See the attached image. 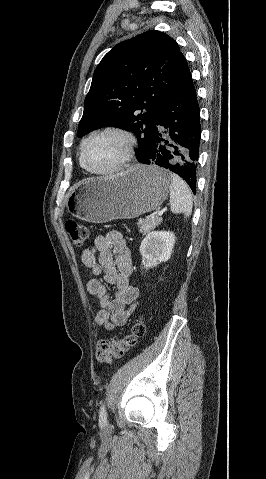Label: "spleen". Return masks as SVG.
<instances>
[{
    "mask_svg": "<svg viewBox=\"0 0 266 479\" xmlns=\"http://www.w3.org/2000/svg\"><path fill=\"white\" fill-rule=\"evenodd\" d=\"M193 200L188 185L178 175H171L170 208L172 213H183L185 218L192 213Z\"/></svg>",
    "mask_w": 266,
    "mask_h": 479,
    "instance_id": "spleen-1",
    "label": "spleen"
}]
</instances>
